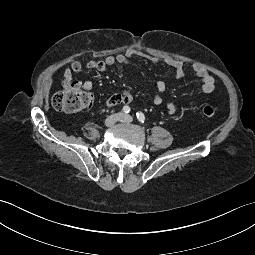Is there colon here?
Masks as SVG:
<instances>
[{
    "label": "colon",
    "instance_id": "1",
    "mask_svg": "<svg viewBox=\"0 0 255 255\" xmlns=\"http://www.w3.org/2000/svg\"><path fill=\"white\" fill-rule=\"evenodd\" d=\"M52 105L58 111L75 113L89 109L92 105V97L71 78H65L62 89L52 98ZM201 112L208 118H213L216 115L215 108L210 105L203 106Z\"/></svg>",
    "mask_w": 255,
    "mask_h": 255
}]
</instances>
